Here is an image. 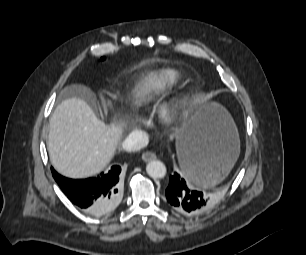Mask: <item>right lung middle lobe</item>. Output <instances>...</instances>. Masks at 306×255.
<instances>
[{
    "label": "right lung middle lobe",
    "mask_w": 306,
    "mask_h": 255,
    "mask_svg": "<svg viewBox=\"0 0 306 255\" xmlns=\"http://www.w3.org/2000/svg\"><path fill=\"white\" fill-rule=\"evenodd\" d=\"M105 58L103 57V58H101V60H104Z\"/></svg>",
    "instance_id": "obj_1"
}]
</instances>
